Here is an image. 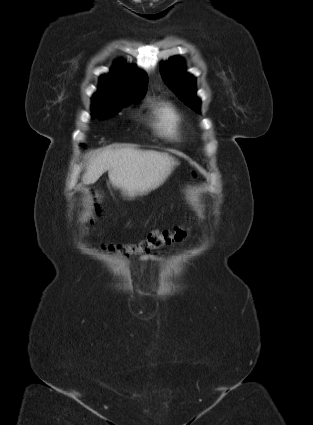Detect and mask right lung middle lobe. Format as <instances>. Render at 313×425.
I'll return each instance as SVG.
<instances>
[{"instance_id":"dd1d6c3e","label":"right lung middle lobe","mask_w":313,"mask_h":425,"mask_svg":"<svg viewBox=\"0 0 313 425\" xmlns=\"http://www.w3.org/2000/svg\"><path fill=\"white\" fill-rule=\"evenodd\" d=\"M132 102L138 101H128L123 98L104 99L92 102V111L96 112L98 118H107L117 114L122 107L128 106Z\"/></svg>"}]
</instances>
